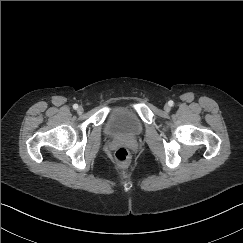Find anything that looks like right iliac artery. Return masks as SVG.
Listing matches in <instances>:
<instances>
[{"mask_svg":"<svg viewBox=\"0 0 243 243\" xmlns=\"http://www.w3.org/2000/svg\"><path fill=\"white\" fill-rule=\"evenodd\" d=\"M73 108H74V109H77V108H78V105H77V104H74V105H73Z\"/></svg>","mask_w":243,"mask_h":243,"instance_id":"82829eb1","label":"right iliac artery"}]
</instances>
